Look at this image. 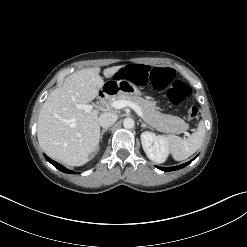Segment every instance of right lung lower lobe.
<instances>
[{"instance_id": "1", "label": "right lung lower lobe", "mask_w": 247, "mask_h": 247, "mask_svg": "<svg viewBox=\"0 0 247 247\" xmlns=\"http://www.w3.org/2000/svg\"><path fill=\"white\" fill-rule=\"evenodd\" d=\"M46 160L48 162H50L52 165H54L57 169H59L60 171L62 172H65V173H69V174H77L76 172L72 171V170H69V169H66L64 166H62L61 164L51 160L49 157H47L46 155H44Z\"/></svg>"}]
</instances>
